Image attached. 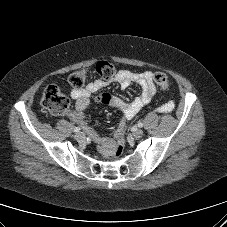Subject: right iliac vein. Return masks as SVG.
<instances>
[{"instance_id": "obj_1", "label": "right iliac vein", "mask_w": 227, "mask_h": 227, "mask_svg": "<svg viewBox=\"0 0 227 227\" xmlns=\"http://www.w3.org/2000/svg\"><path fill=\"white\" fill-rule=\"evenodd\" d=\"M74 138L78 141L81 142L85 139V135L82 132L76 133Z\"/></svg>"}]
</instances>
